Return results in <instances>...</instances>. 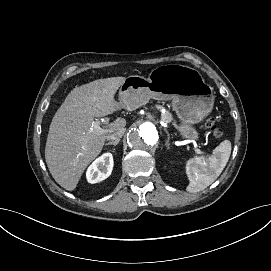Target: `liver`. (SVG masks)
<instances>
[{
  "mask_svg": "<svg viewBox=\"0 0 271 271\" xmlns=\"http://www.w3.org/2000/svg\"><path fill=\"white\" fill-rule=\"evenodd\" d=\"M124 81V77H111L75 87L55 113L49 127L45 159L51 175L64 189L76 188L85 168L101 152L107 135L125 131V119L110 123L102 135L91 131L94 117L119 109L114 94Z\"/></svg>",
  "mask_w": 271,
  "mask_h": 271,
  "instance_id": "liver-1",
  "label": "liver"
}]
</instances>
